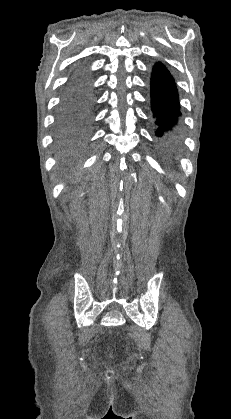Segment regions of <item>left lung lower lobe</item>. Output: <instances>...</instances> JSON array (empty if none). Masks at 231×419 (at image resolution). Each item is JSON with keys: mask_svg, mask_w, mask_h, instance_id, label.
<instances>
[{"mask_svg": "<svg viewBox=\"0 0 231 419\" xmlns=\"http://www.w3.org/2000/svg\"><path fill=\"white\" fill-rule=\"evenodd\" d=\"M151 108L156 136L162 151L172 156L180 143L181 115L175 81L162 63H156L151 75Z\"/></svg>", "mask_w": 231, "mask_h": 419, "instance_id": "left-lung-lower-lobe-1", "label": "left lung lower lobe"}]
</instances>
